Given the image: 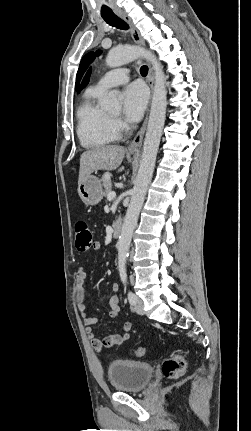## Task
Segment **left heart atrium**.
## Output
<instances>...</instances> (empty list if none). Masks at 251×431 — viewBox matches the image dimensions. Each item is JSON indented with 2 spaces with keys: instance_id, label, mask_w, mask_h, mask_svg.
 Returning a JSON list of instances; mask_svg holds the SVG:
<instances>
[{
  "instance_id": "left-heart-atrium-1",
  "label": "left heart atrium",
  "mask_w": 251,
  "mask_h": 431,
  "mask_svg": "<svg viewBox=\"0 0 251 431\" xmlns=\"http://www.w3.org/2000/svg\"><path fill=\"white\" fill-rule=\"evenodd\" d=\"M148 101V91L139 82L128 85L123 92V112L130 121H137L142 116Z\"/></svg>"
}]
</instances>
